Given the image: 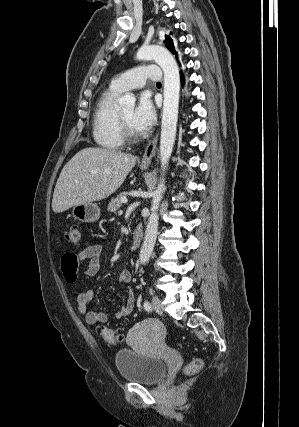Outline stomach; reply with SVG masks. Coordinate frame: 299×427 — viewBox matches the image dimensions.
<instances>
[{"label":"stomach","mask_w":299,"mask_h":427,"mask_svg":"<svg viewBox=\"0 0 299 427\" xmlns=\"http://www.w3.org/2000/svg\"><path fill=\"white\" fill-rule=\"evenodd\" d=\"M146 166H143L142 169H146ZM100 208L97 204L92 202L75 205L72 208V216L74 219L81 222H95L100 218Z\"/></svg>","instance_id":"obj_1"}]
</instances>
